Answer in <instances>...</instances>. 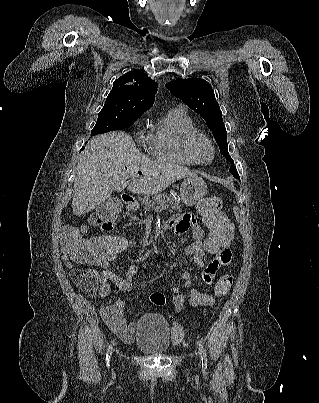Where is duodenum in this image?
<instances>
[{
  "label": "duodenum",
  "mask_w": 319,
  "mask_h": 403,
  "mask_svg": "<svg viewBox=\"0 0 319 403\" xmlns=\"http://www.w3.org/2000/svg\"><path fill=\"white\" fill-rule=\"evenodd\" d=\"M122 200L125 203L128 210H135L140 207V203L135 199V197L132 194L129 193L123 194ZM165 227L166 228L172 227L170 220L166 222Z\"/></svg>",
  "instance_id": "1"
}]
</instances>
